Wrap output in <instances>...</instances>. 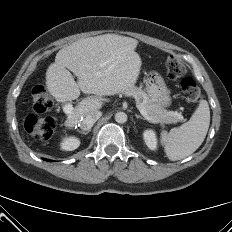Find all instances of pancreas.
Wrapping results in <instances>:
<instances>
[{
    "mask_svg": "<svg viewBox=\"0 0 232 232\" xmlns=\"http://www.w3.org/2000/svg\"><path fill=\"white\" fill-rule=\"evenodd\" d=\"M121 93L127 96L136 97L140 101V104L145 108L148 115L161 124H171L180 121L177 114L167 111L159 104L155 103L141 88L132 86L121 91Z\"/></svg>",
    "mask_w": 232,
    "mask_h": 232,
    "instance_id": "pancreas-1",
    "label": "pancreas"
}]
</instances>
